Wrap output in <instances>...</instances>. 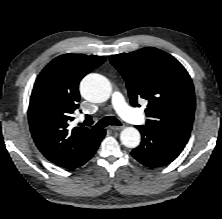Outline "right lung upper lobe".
<instances>
[{
    "label": "right lung upper lobe",
    "mask_w": 222,
    "mask_h": 219,
    "mask_svg": "<svg viewBox=\"0 0 222 219\" xmlns=\"http://www.w3.org/2000/svg\"><path fill=\"white\" fill-rule=\"evenodd\" d=\"M104 57L64 54L39 74L28 109L32 137L41 153L54 164L70 168L88 149L100 130L68 128L78 108L81 79L100 66Z\"/></svg>",
    "instance_id": "obj_1"
}]
</instances>
